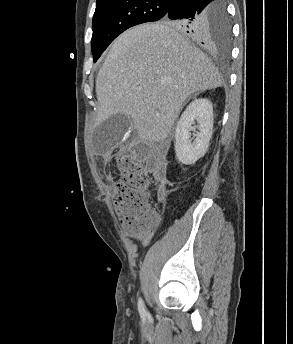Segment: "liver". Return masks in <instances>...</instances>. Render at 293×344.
Instances as JSON below:
<instances>
[{"mask_svg":"<svg viewBox=\"0 0 293 344\" xmlns=\"http://www.w3.org/2000/svg\"><path fill=\"white\" fill-rule=\"evenodd\" d=\"M175 28L143 24L114 41L96 78L97 124L127 115L141 141L163 142L191 94L221 86L212 61Z\"/></svg>","mask_w":293,"mask_h":344,"instance_id":"obj_1","label":"liver"}]
</instances>
